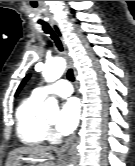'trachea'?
I'll list each match as a JSON object with an SVG mask.
<instances>
[{
  "label": "trachea",
  "instance_id": "obj_1",
  "mask_svg": "<svg viewBox=\"0 0 135 166\" xmlns=\"http://www.w3.org/2000/svg\"><path fill=\"white\" fill-rule=\"evenodd\" d=\"M41 25H42V29L44 30V32L46 34H49L50 37L52 38V40L55 42L58 50L63 51L62 43H61L59 37L57 36V34L54 32V30L50 27V25L47 23H41ZM67 78H68V80H70L72 82L75 80L74 73H73L72 69L68 70Z\"/></svg>",
  "mask_w": 135,
  "mask_h": 166
}]
</instances>
